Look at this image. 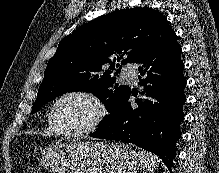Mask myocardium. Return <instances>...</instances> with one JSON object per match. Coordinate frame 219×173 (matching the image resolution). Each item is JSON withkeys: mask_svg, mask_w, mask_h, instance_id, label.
<instances>
[{"mask_svg": "<svg viewBox=\"0 0 219 173\" xmlns=\"http://www.w3.org/2000/svg\"><path fill=\"white\" fill-rule=\"evenodd\" d=\"M72 96H78L85 98L88 100L95 108V115L91 119V121L83 126L82 128L74 131H65L62 130L55 119V110L57 105L64 100L65 98L72 97ZM108 115V109L105 104V102L94 92L86 89H73L66 91L59 95L52 103L49 114H48V121L52 129L55 131V133L62 137L67 138H76L81 137L84 135H87L94 130H96L106 119Z\"/></svg>", "mask_w": 219, "mask_h": 173, "instance_id": "obj_1", "label": "myocardium"}]
</instances>
